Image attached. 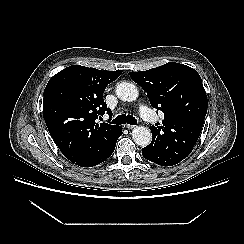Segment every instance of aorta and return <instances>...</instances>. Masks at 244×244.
Returning <instances> with one entry per match:
<instances>
[{"mask_svg":"<svg viewBox=\"0 0 244 244\" xmlns=\"http://www.w3.org/2000/svg\"><path fill=\"white\" fill-rule=\"evenodd\" d=\"M116 95L122 101L132 102L138 98L139 92L133 83L121 82L116 86ZM134 142L140 147H146L152 139L151 131L143 126H137L132 131Z\"/></svg>","mask_w":244,"mask_h":244,"instance_id":"762f6f07","label":"aorta"}]
</instances>
